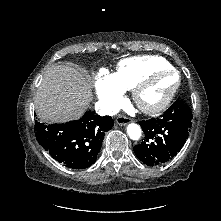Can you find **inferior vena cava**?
<instances>
[{
  "mask_svg": "<svg viewBox=\"0 0 221 221\" xmlns=\"http://www.w3.org/2000/svg\"><path fill=\"white\" fill-rule=\"evenodd\" d=\"M96 112L101 115L113 116L119 112V109L115 106L108 104L107 102L98 101L95 105Z\"/></svg>",
  "mask_w": 221,
  "mask_h": 221,
  "instance_id": "obj_1",
  "label": "inferior vena cava"
}]
</instances>
